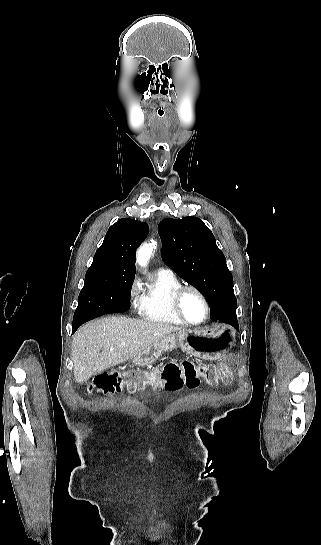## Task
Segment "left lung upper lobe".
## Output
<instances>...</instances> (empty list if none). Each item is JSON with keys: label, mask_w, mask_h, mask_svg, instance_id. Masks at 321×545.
Returning <instances> with one entry per match:
<instances>
[{"label": "left lung upper lobe", "mask_w": 321, "mask_h": 545, "mask_svg": "<svg viewBox=\"0 0 321 545\" xmlns=\"http://www.w3.org/2000/svg\"><path fill=\"white\" fill-rule=\"evenodd\" d=\"M162 259L208 300L210 312L236 310L233 277L216 239L202 220L189 216L159 224Z\"/></svg>", "instance_id": "obj_1"}]
</instances>
